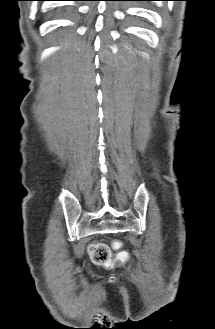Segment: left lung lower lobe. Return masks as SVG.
Returning <instances> with one entry per match:
<instances>
[{
  "label": "left lung lower lobe",
  "instance_id": "left-lung-lower-lobe-1",
  "mask_svg": "<svg viewBox=\"0 0 215 329\" xmlns=\"http://www.w3.org/2000/svg\"><path fill=\"white\" fill-rule=\"evenodd\" d=\"M143 1H151V0H143Z\"/></svg>",
  "mask_w": 215,
  "mask_h": 329
}]
</instances>
